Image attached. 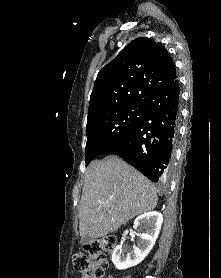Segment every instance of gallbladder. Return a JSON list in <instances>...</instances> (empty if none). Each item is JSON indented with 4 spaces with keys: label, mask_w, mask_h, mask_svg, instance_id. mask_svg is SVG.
Returning <instances> with one entry per match:
<instances>
[{
    "label": "gallbladder",
    "mask_w": 221,
    "mask_h": 278,
    "mask_svg": "<svg viewBox=\"0 0 221 278\" xmlns=\"http://www.w3.org/2000/svg\"><path fill=\"white\" fill-rule=\"evenodd\" d=\"M92 241H93V238L89 235H86V236L82 237L81 244L87 245V244L91 243Z\"/></svg>",
    "instance_id": "gallbladder-1"
}]
</instances>
